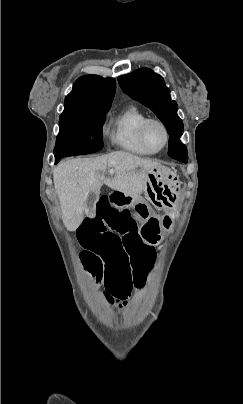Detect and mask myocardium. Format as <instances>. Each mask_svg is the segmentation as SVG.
<instances>
[{
  "label": "myocardium",
  "mask_w": 243,
  "mask_h": 404,
  "mask_svg": "<svg viewBox=\"0 0 243 404\" xmlns=\"http://www.w3.org/2000/svg\"><path fill=\"white\" fill-rule=\"evenodd\" d=\"M152 123L158 124L163 129L164 134H165V142L160 148H153L146 137V129ZM138 133H139V138H140L141 142L148 148L153 149L157 152L164 150L170 143V139H171V135H170L168 126L166 125V123L163 120H161L157 117H146L141 122Z\"/></svg>",
  "instance_id": "obj_1"
}]
</instances>
